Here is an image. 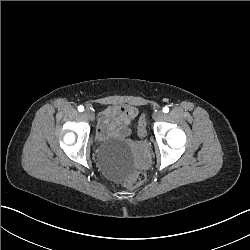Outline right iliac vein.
Instances as JSON below:
<instances>
[{
	"label": "right iliac vein",
	"instance_id": "obj_1",
	"mask_svg": "<svg viewBox=\"0 0 250 250\" xmlns=\"http://www.w3.org/2000/svg\"><path fill=\"white\" fill-rule=\"evenodd\" d=\"M83 116L87 119L93 120L94 113L91 110L87 109L83 112Z\"/></svg>",
	"mask_w": 250,
	"mask_h": 250
}]
</instances>
